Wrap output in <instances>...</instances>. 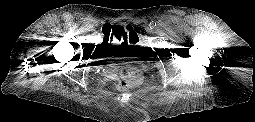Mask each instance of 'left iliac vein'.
<instances>
[{
	"label": "left iliac vein",
	"mask_w": 255,
	"mask_h": 122,
	"mask_svg": "<svg viewBox=\"0 0 255 122\" xmlns=\"http://www.w3.org/2000/svg\"><path fill=\"white\" fill-rule=\"evenodd\" d=\"M147 32H148L149 34H153V33H154V29L149 27V28L147 29Z\"/></svg>",
	"instance_id": "left-iliac-vein-1"
}]
</instances>
